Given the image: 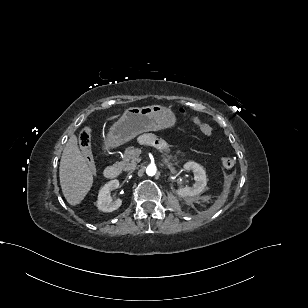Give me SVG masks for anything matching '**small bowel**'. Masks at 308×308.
I'll use <instances>...</instances> for the list:
<instances>
[{"mask_svg": "<svg viewBox=\"0 0 308 308\" xmlns=\"http://www.w3.org/2000/svg\"><path fill=\"white\" fill-rule=\"evenodd\" d=\"M139 142L145 145H150V146H155V147L164 146L163 140L151 133L142 134L139 137Z\"/></svg>", "mask_w": 308, "mask_h": 308, "instance_id": "obj_1", "label": "small bowel"}]
</instances>
